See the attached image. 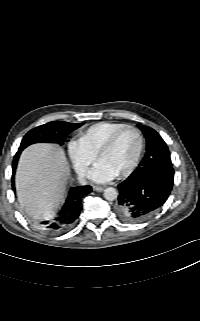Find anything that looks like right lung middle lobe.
<instances>
[{
	"label": "right lung middle lobe",
	"mask_w": 200,
	"mask_h": 321,
	"mask_svg": "<svg viewBox=\"0 0 200 321\" xmlns=\"http://www.w3.org/2000/svg\"><path fill=\"white\" fill-rule=\"evenodd\" d=\"M83 123L52 121L30 130L23 138L18 153L34 143H57L62 145L66 136L82 126Z\"/></svg>",
	"instance_id": "1"
}]
</instances>
